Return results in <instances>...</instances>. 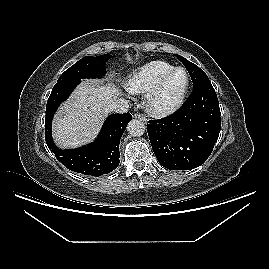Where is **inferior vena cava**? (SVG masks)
I'll return each mask as SVG.
<instances>
[{"label": "inferior vena cava", "instance_id": "1", "mask_svg": "<svg viewBox=\"0 0 269 269\" xmlns=\"http://www.w3.org/2000/svg\"><path fill=\"white\" fill-rule=\"evenodd\" d=\"M128 108V100L117 99L109 105L108 110L115 113H126L128 111Z\"/></svg>", "mask_w": 269, "mask_h": 269}]
</instances>
